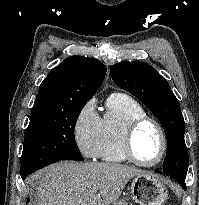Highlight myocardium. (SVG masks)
I'll return each mask as SVG.
<instances>
[{"instance_id": "1", "label": "myocardium", "mask_w": 199, "mask_h": 205, "mask_svg": "<svg viewBox=\"0 0 199 205\" xmlns=\"http://www.w3.org/2000/svg\"><path fill=\"white\" fill-rule=\"evenodd\" d=\"M145 124H152L158 130L160 138H161V144H162L161 152H160V155L158 156V158L153 162L141 161L140 159H138V157L135 155V152H134L135 134H136L137 130ZM167 149H168V139H167L165 130H164L163 126L161 125V123L158 120H156L155 118H152V117L147 116V115L138 117V118L132 120L124 130L123 138H122L123 153H124L125 157L127 158V160H129L130 162H132L138 166L153 167V166L160 164L163 161V159L165 158V155L167 153Z\"/></svg>"}]
</instances>
